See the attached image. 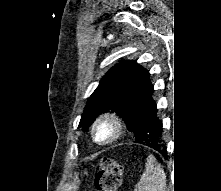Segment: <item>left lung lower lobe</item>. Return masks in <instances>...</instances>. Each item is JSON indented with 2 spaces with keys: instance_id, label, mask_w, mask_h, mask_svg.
Returning <instances> with one entry per match:
<instances>
[{
  "instance_id": "obj_1",
  "label": "left lung lower lobe",
  "mask_w": 221,
  "mask_h": 191,
  "mask_svg": "<svg viewBox=\"0 0 221 191\" xmlns=\"http://www.w3.org/2000/svg\"><path fill=\"white\" fill-rule=\"evenodd\" d=\"M153 92L154 89L149 79V72L139 65L131 95L134 131L139 133L142 140L149 143V147L163 154L166 158L163 125L162 121L157 117V107L152 99Z\"/></svg>"
}]
</instances>
